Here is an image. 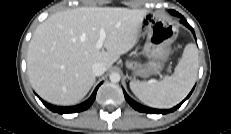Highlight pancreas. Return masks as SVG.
<instances>
[{
    "label": "pancreas",
    "mask_w": 231,
    "mask_h": 134,
    "mask_svg": "<svg viewBox=\"0 0 231 134\" xmlns=\"http://www.w3.org/2000/svg\"><path fill=\"white\" fill-rule=\"evenodd\" d=\"M126 65H127L128 67H131V66H132V63L127 62Z\"/></svg>",
    "instance_id": "1"
}]
</instances>
